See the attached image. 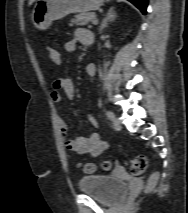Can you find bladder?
Returning a JSON list of instances; mask_svg holds the SVG:
<instances>
[{
    "label": "bladder",
    "mask_w": 188,
    "mask_h": 213,
    "mask_svg": "<svg viewBox=\"0 0 188 213\" xmlns=\"http://www.w3.org/2000/svg\"><path fill=\"white\" fill-rule=\"evenodd\" d=\"M78 189L104 205H114L125 195L126 183L115 175L89 174L80 178Z\"/></svg>",
    "instance_id": "bladder-1"
}]
</instances>
